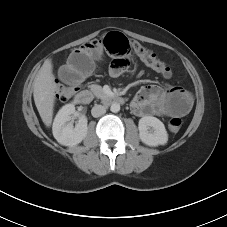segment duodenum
<instances>
[{"label":"duodenum","mask_w":227,"mask_h":227,"mask_svg":"<svg viewBox=\"0 0 227 227\" xmlns=\"http://www.w3.org/2000/svg\"><path fill=\"white\" fill-rule=\"evenodd\" d=\"M92 98L93 95L91 91L84 89L77 94L76 101L80 104H88L92 101ZM107 100L118 104H123L125 102V99L120 95H110Z\"/></svg>","instance_id":"duodenum-1"}]
</instances>
